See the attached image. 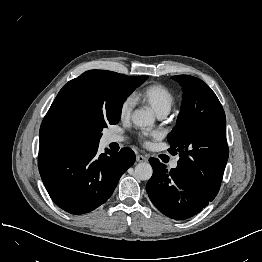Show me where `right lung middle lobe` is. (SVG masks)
Returning a JSON list of instances; mask_svg holds the SVG:
<instances>
[{
	"instance_id": "dd1d6c3e",
	"label": "right lung middle lobe",
	"mask_w": 262,
	"mask_h": 262,
	"mask_svg": "<svg viewBox=\"0 0 262 262\" xmlns=\"http://www.w3.org/2000/svg\"><path fill=\"white\" fill-rule=\"evenodd\" d=\"M147 78L148 76L129 77L121 74L114 85L113 103L106 108L91 99L85 100L79 109L73 127L75 141L99 145L103 128L119 122L125 99Z\"/></svg>"
}]
</instances>
